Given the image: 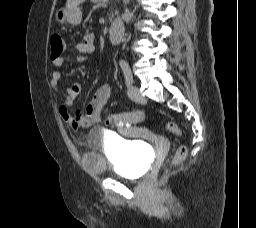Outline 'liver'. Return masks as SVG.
Returning <instances> with one entry per match:
<instances>
[{
  "label": "liver",
  "mask_w": 256,
  "mask_h": 228,
  "mask_svg": "<svg viewBox=\"0 0 256 228\" xmlns=\"http://www.w3.org/2000/svg\"><path fill=\"white\" fill-rule=\"evenodd\" d=\"M86 0H67L66 8H72L74 6H78L79 4L85 2Z\"/></svg>",
  "instance_id": "1"
}]
</instances>
